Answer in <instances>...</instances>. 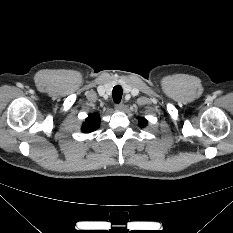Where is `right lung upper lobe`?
I'll return each instance as SVG.
<instances>
[{
	"label": "right lung upper lobe",
	"mask_w": 233,
	"mask_h": 233,
	"mask_svg": "<svg viewBox=\"0 0 233 233\" xmlns=\"http://www.w3.org/2000/svg\"><path fill=\"white\" fill-rule=\"evenodd\" d=\"M100 123V117L98 114H90L86 118V122L82 125V132L90 133L97 130Z\"/></svg>",
	"instance_id": "cb5924a9"
}]
</instances>
